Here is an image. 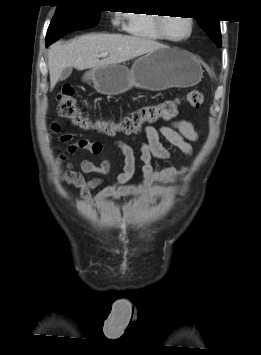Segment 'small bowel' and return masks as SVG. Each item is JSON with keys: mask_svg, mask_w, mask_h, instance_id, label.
Returning <instances> with one entry per match:
<instances>
[{"mask_svg": "<svg viewBox=\"0 0 261 355\" xmlns=\"http://www.w3.org/2000/svg\"><path fill=\"white\" fill-rule=\"evenodd\" d=\"M54 130H57L55 127ZM146 141L139 142L140 160L142 166V181L138 184H128L135 172L136 157L133 148L122 140H115L113 145L118 148L124 157L123 171L117 176V182L107 186L92 196L91 191L97 188L102 179L95 177L86 180L83 174L98 173L107 174L111 164L108 159H103L99 165L89 160L80 163L81 172L72 170L73 165L69 164V170L60 175V180L73 185L80 190V197L91 204H98L111 198L118 200L122 197L145 196L149 201L169 197L174 188L163 186L158 182H170L184 172L176 167L154 168L151 160L153 157L167 159L170 152L162 140L180 150L185 155L193 153L192 142L198 139V134L191 122L184 119H176L164 124L159 128L147 126L144 128ZM59 142L69 143L66 151L59 155V162H63L67 155L74 154L78 150H85L94 155H101L104 145L99 141H90L73 133H65L59 136Z\"/></svg>", "mask_w": 261, "mask_h": 355, "instance_id": "small-bowel-1", "label": "small bowel"}]
</instances>
